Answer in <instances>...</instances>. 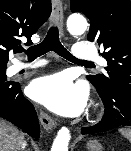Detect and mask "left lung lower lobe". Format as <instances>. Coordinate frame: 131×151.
<instances>
[{"mask_svg": "<svg viewBox=\"0 0 131 151\" xmlns=\"http://www.w3.org/2000/svg\"><path fill=\"white\" fill-rule=\"evenodd\" d=\"M99 95L105 106L103 118L94 126L82 128L81 133L95 134L117 127H131V97Z\"/></svg>", "mask_w": 131, "mask_h": 151, "instance_id": "obj_1", "label": "left lung lower lobe"}]
</instances>
